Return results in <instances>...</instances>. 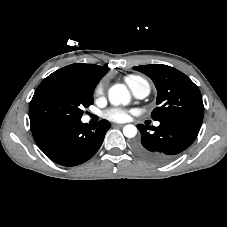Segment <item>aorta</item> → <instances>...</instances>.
I'll list each match as a JSON object with an SVG mask.
<instances>
[{"instance_id":"aorta-1","label":"aorta","mask_w":227,"mask_h":227,"mask_svg":"<svg viewBox=\"0 0 227 227\" xmlns=\"http://www.w3.org/2000/svg\"><path fill=\"white\" fill-rule=\"evenodd\" d=\"M108 98L113 105H127L130 102V93L125 85L115 84L109 89ZM123 134L127 138H133L137 134V128L133 124L125 125Z\"/></svg>"}]
</instances>
